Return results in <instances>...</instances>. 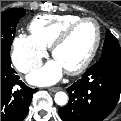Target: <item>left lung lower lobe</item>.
Instances as JSON below:
<instances>
[{"label":"left lung lower lobe","instance_id":"1","mask_svg":"<svg viewBox=\"0 0 121 121\" xmlns=\"http://www.w3.org/2000/svg\"><path fill=\"white\" fill-rule=\"evenodd\" d=\"M67 91L69 102L59 110L63 121H102L115 108L121 93V58L98 61Z\"/></svg>","mask_w":121,"mask_h":121}]
</instances>
